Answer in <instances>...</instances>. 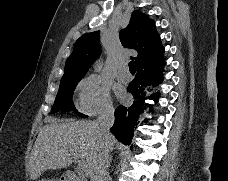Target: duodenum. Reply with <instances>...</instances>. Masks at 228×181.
I'll return each instance as SVG.
<instances>
[{
  "instance_id": "410a0bca",
  "label": "duodenum",
  "mask_w": 228,
  "mask_h": 181,
  "mask_svg": "<svg viewBox=\"0 0 228 181\" xmlns=\"http://www.w3.org/2000/svg\"><path fill=\"white\" fill-rule=\"evenodd\" d=\"M63 181H78L75 174H66Z\"/></svg>"
}]
</instances>
